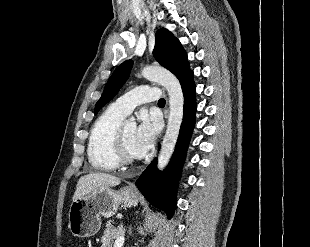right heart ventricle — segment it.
Wrapping results in <instances>:
<instances>
[{
  "label": "right heart ventricle",
  "instance_id": "1",
  "mask_svg": "<svg viewBox=\"0 0 310 247\" xmlns=\"http://www.w3.org/2000/svg\"><path fill=\"white\" fill-rule=\"evenodd\" d=\"M125 115L109 106L93 124L88 141V160L93 168L113 171L119 166L116 138Z\"/></svg>",
  "mask_w": 310,
  "mask_h": 247
}]
</instances>
